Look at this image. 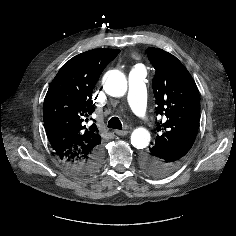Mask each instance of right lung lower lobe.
<instances>
[{
	"mask_svg": "<svg viewBox=\"0 0 236 236\" xmlns=\"http://www.w3.org/2000/svg\"><path fill=\"white\" fill-rule=\"evenodd\" d=\"M103 162V150L97 148L86 160L66 161L63 163L73 172L80 174H92L98 171Z\"/></svg>",
	"mask_w": 236,
	"mask_h": 236,
	"instance_id": "1",
	"label": "right lung lower lobe"
}]
</instances>
